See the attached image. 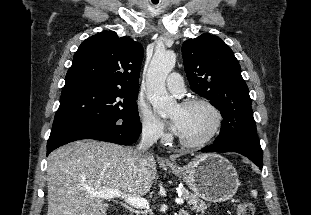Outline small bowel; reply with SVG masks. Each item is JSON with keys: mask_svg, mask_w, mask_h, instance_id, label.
Instances as JSON below:
<instances>
[{"mask_svg": "<svg viewBox=\"0 0 311 215\" xmlns=\"http://www.w3.org/2000/svg\"><path fill=\"white\" fill-rule=\"evenodd\" d=\"M182 214H183V215H188V214H187V213H185V212H182Z\"/></svg>", "mask_w": 311, "mask_h": 215, "instance_id": "1", "label": "small bowel"}]
</instances>
